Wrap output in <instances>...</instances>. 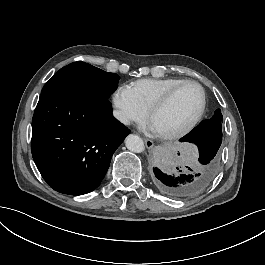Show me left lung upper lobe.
<instances>
[{
    "label": "left lung upper lobe",
    "mask_w": 265,
    "mask_h": 265,
    "mask_svg": "<svg viewBox=\"0 0 265 265\" xmlns=\"http://www.w3.org/2000/svg\"><path fill=\"white\" fill-rule=\"evenodd\" d=\"M211 121V123L213 125H215L216 127H220L222 128V120H223V116L221 113L220 109H217L214 113V115L212 116V118L209 119Z\"/></svg>",
    "instance_id": "5c2ea615"
}]
</instances>
